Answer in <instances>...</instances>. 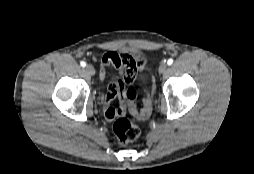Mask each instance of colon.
<instances>
[{
    "label": "colon",
    "instance_id": "obj_1",
    "mask_svg": "<svg viewBox=\"0 0 254 174\" xmlns=\"http://www.w3.org/2000/svg\"><path fill=\"white\" fill-rule=\"evenodd\" d=\"M124 96L127 99V107L129 112L138 119H146L150 116L152 112V100L150 96H147L143 103V108L138 110L136 107V88L128 84L123 89ZM126 112V106L124 104L120 105L115 109L116 116L118 119L114 122L113 131L116 136L117 141L126 145L134 140H136L140 135L139 127L131 122L130 120L123 117Z\"/></svg>",
    "mask_w": 254,
    "mask_h": 174
}]
</instances>
